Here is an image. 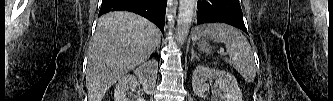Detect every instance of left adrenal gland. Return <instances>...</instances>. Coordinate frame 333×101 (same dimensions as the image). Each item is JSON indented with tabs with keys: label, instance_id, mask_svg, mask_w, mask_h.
<instances>
[{
	"label": "left adrenal gland",
	"instance_id": "1",
	"mask_svg": "<svg viewBox=\"0 0 333 101\" xmlns=\"http://www.w3.org/2000/svg\"><path fill=\"white\" fill-rule=\"evenodd\" d=\"M197 59V61H199V57L196 55L194 49L191 50V61H193L194 59Z\"/></svg>",
	"mask_w": 333,
	"mask_h": 101
}]
</instances>
